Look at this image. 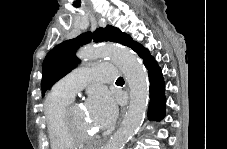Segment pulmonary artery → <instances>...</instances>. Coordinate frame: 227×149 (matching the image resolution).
<instances>
[{
  "instance_id": "pulmonary-artery-1",
  "label": "pulmonary artery",
  "mask_w": 227,
  "mask_h": 149,
  "mask_svg": "<svg viewBox=\"0 0 227 149\" xmlns=\"http://www.w3.org/2000/svg\"><path fill=\"white\" fill-rule=\"evenodd\" d=\"M116 72V67L109 63H99L91 68H78L62 78L54 89L74 98L91 79L97 83L111 82L116 79Z\"/></svg>"
}]
</instances>
